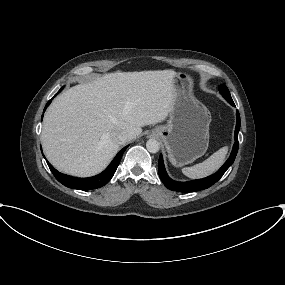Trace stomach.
Wrapping results in <instances>:
<instances>
[{
    "label": "stomach",
    "mask_w": 285,
    "mask_h": 285,
    "mask_svg": "<svg viewBox=\"0 0 285 285\" xmlns=\"http://www.w3.org/2000/svg\"><path fill=\"white\" fill-rule=\"evenodd\" d=\"M176 95L167 124L152 130L161 139L170 162L176 167L190 164L207 151L209 145V110L193 93V80L186 73H177Z\"/></svg>",
    "instance_id": "1"
}]
</instances>
